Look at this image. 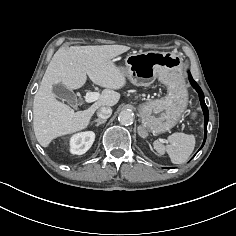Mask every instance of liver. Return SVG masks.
I'll return each instance as SVG.
<instances>
[{"label":"liver","mask_w":236,"mask_h":236,"mask_svg":"<svg viewBox=\"0 0 236 236\" xmlns=\"http://www.w3.org/2000/svg\"><path fill=\"white\" fill-rule=\"evenodd\" d=\"M125 45H89L59 48L51 59L33 101V128L37 141L48 147L57 137L87 128L97 109L114 106L119 90L126 85V75L112 59L128 51ZM89 79L105 90L84 111L75 112L56 99L53 85L62 83L69 90L81 88Z\"/></svg>","instance_id":"6515ba94"}]
</instances>
